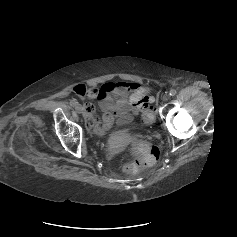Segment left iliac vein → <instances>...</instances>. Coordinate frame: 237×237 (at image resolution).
<instances>
[{
    "label": "left iliac vein",
    "mask_w": 237,
    "mask_h": 237,
    "mask_svg": "<svg viewBox=\"0 0 237 237\" xmlns=\"http://www.w3.org/2000/svg\"><path fill=\"white\" fill-rule=\"evenodd\" d=\"M168 99H169V95L166 94V95L163 96L164 101H168Z\"/></svg>",
    "instance_id": "obj_1"
}]
</instances>
